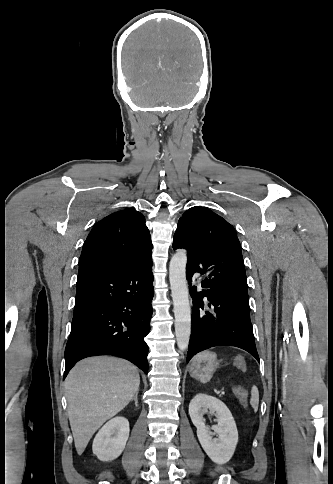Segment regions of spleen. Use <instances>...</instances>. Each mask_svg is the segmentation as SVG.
<instances>
[{
	"label": "spleen",
	"mask_w": 333,
	"mask_h": 484,
	"mask_svg": "<svg viewBox=\"0 0 333 484\" xmlns=\"http://www.w3.org/2000/svg\"><path fill=\"white\" fill-rule=\"evenodd\" d=\"M250 405L252 406V408L256 412L257 409H258V405H259V392H258V389H257L256 386H253L251 388Z\"/></svg>",
	"instance_id": "obj_1"
}]
</instances>
